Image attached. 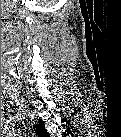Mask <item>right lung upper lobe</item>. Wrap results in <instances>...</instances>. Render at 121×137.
<instances>
[{
  "label": "right lung upper lobe",
  "mask_w": 121,
  "mask_h": 137,
  "mask_svg": "<svg viewBox=\"0 0 121 137\" xmlns=\"http://www.w3.org/2000/svg\"><path fill=\"white\" fill-rule=\"evenodd\" d=\"M36 130H37V133H46L45 129H44V124L42 121L39 122V124L36 126Z\"/></svg>",
  "instance_id": "obj_1"
}]
</instances>
